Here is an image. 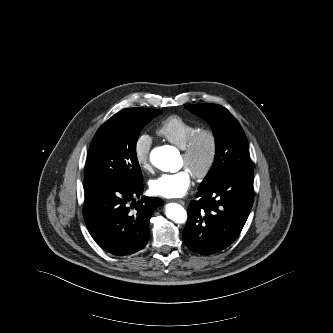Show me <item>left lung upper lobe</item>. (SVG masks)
I'll return each mask as SVG.
<instances>
[{
    "label": "left lung upper lobe",
    "mask_w": 333,
    "mask_h": 333,
    "mask_svg": "<svg viewBox=\"0 0 333 333\" xmlns=\"http://www.w3.org/2000/svg\"><path fill=\"white\" fill-rule=\"evenodd\" d=\"M185 107L209 121L215 135L214 164L200 184L199 189L214 184L228 174L253 170L245 133L227 109L210 103L186 105Z\"/></svg>",
    "instance_id": "left-lung-upper-lobe-1"
}]
</instances>
